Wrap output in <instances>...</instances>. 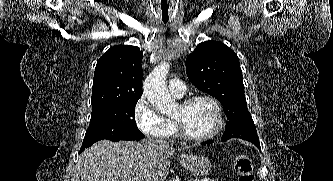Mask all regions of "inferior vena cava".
Here are the masks:
<instances>
[{"instance_id": "1", "label": "inferior vena cava", "mask_w": 333, "mask_h": 181, "mask_svg": "<svg viewBox=\"0 0 333 181\" xmlns=\"http://www.w3.org/2000/svg\"><path fill=\"white\" fill-rule=\"evenodd\" d=\"M149 147L151 148H166L168 145L160 140V139H155V138H148V141L146 143Z\"/></svg>"}]
</instances>
